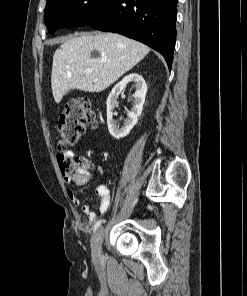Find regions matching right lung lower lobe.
<instances>
[{"label": "right lung lower lobe", "instance_id": "1", "mask_svg": "<svg viewBox=\"0 0 247 296\" xmlns=\"http://www.w3.org/2000/svg\"><path fill=\"white\" fill-rule=\"evenodd\" d=\"M178 0H106L88 25L122 34L160 52L169 69L176 41Z\"/></svg>", "mask_w": 247, "mask_h": 296}]
</instances>
